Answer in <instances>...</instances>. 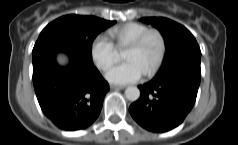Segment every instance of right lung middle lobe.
<instances>
[{
    "instance_id": "dd1d6c3e",
    "label": "right lung middle lobe",
    "mask_w": 238,
    "mask_h": 145,
    "mask_svg": "<svg viewBox=\"0 0 238 145\" xmlns=\"http://www.w3.org/2000/svg\"><path fill=\"white\" fill-rule=\"evenodd\" d=\"M116 21L94 16L70 14L49 23L40 33L32 54L55 49L67 50L92 60V43L96 36Z\"/></svg>"
}]
</instances>
